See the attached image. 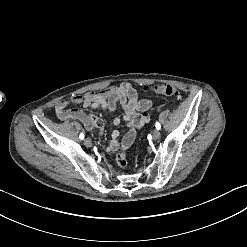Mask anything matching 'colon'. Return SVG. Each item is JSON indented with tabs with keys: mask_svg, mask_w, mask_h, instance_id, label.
<instances>
[{
	"mask_svg": "<svg viewBox=\"0 0 247 247\" xmlns=\"http://www.w3.org/2000/svg\"><path fill=\"white\" fill-rule=\"evenodd\" d=\"M143 92L148 94L165 95L179 99L182 95L181 91L171 84H155L145 85Z\"/></svg>",
	"mask_w": 247,
	"mask_h": 247,
	"instance_id": "5ec220e1",
	"label": "colon"
}]
</instances>
